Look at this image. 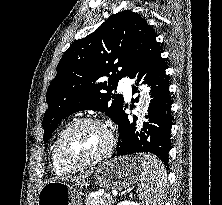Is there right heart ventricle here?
<instances>
[{
    "label": "right heart ventricle",
    "instance_id": "obj_1",
    "mask_svg": "<svg viewBox=\"0 0 222 205\" xmlns=\"http://www.w3.org/2000/svg\"><path fill=\"white\" fill-rule=\"evenodd\" d=\"M58 138V137H57ZM57 138L56 140L54 141L53 143V146H52V149H51V163H52V169L54 171V173L56 175H64V174H67V173H70L72 172L73 170L71 169H68V168H65L63 167L57 157H56V152H55V147H56V141H57Z\"/></svg>",
    "mask_w": 222,
    "mask_h": 205
}]
</instances>
